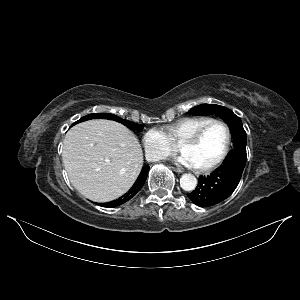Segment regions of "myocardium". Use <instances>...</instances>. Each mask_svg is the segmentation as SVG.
I'll return each instance as SVG.
<instances>
[{
	"label": "myocardium",
	"mask_w": 300,
	"mask_h": 300,
	"mask_svg": "<svg viewBox=\"0 0 300 300\" xmlns=\"http://www.w3.org/2000/svg\"><path fill=\"white\" fill-rule=\"evenodd\" d=\"M215 124H219L222 125L225 128L226 131V144H225V148L221 154V156L214 161L213 163L207 165V166H202V167H195V170L199 173H208L211 172L213 170H215L216 168H218L228 157L229 152H230V148H231V141H232V134H231V130L229 125L219 119H213L211 121H209L208 123L204 124L203 126H201L199 129H197L194 133H192L188 138H186L181 144H180V150L182 151V149L184 147L187 146H193L196 143L199 142V140L202 138L203 134L206 132V130Z\"/></svg>",
	"instance_id": "obj_1"
}]
</instances>
